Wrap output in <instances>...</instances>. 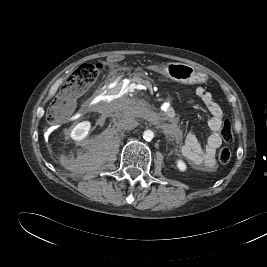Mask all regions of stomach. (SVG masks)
I'll list each match as a JSON object with an SVG mask.
<instances>
[{
	"mask_svg": "<svg viewBox=\"0 0 267 267\" xmlns=\"http://www.w3.org/2000/svg\"><path fill=\"white\" fill-rule=\"evenodd\" d=\"M150 69L160 72L171 80L179 83L193 84L207 81L206 75L184 63H168L163 66L153 65Z\"/></svg>",
	"mask_w": 267,
	"mask_h": 267,
	"instance_id": "0dacf381",
	"label": "stomach"
}]
</instances>
